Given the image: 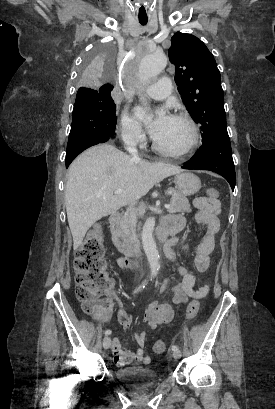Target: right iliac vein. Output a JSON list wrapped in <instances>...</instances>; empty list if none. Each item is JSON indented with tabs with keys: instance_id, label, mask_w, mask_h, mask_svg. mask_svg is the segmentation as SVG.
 <instances>
[{
	"instance_id": "1",
	"label": "right iliac vein",
	"mask_w": 275,
	"mask_h": 409,
	"mask_svg": "<svg viewBox=\"0 0 275 409\" xmlns=\"http://www.w3.org/2000/svg\"><path fill=\"white\" fill-rule=\"evenodd\" d=\"M111 345V338L110 337H104L103 339V348L104 349H109Z\"/></svg>"
}]
</instances>
